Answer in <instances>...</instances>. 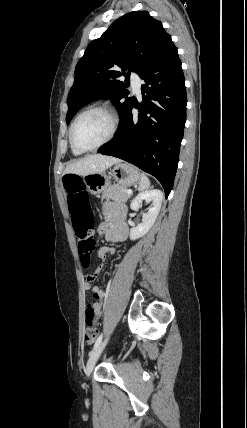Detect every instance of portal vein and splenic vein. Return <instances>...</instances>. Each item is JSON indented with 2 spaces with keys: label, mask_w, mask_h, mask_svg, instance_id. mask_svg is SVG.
Listing matches in <instances>:
<instances>
[{
  "label": "portal vein and splenic vein",
  "mask_w": 247,
  "mask_h": 428,
  "mask_svg": "<svg viewBox=\"0 0 247 428\" xmlns=\"http://www.w3.org/2000/svg\"><path fill=\"white\" fill-rule=\"evenodd\" d=\"M126 193L130 195V194H132V190L129 189L126 191Z\"/></svg>",
  "instance_id": "obj_1"
}]
</instances>
